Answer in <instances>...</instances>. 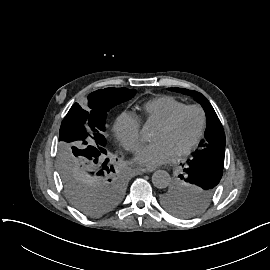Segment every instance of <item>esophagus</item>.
Listing matches in <instances>:
<instances>
[{"label": "esophagus", "instance_id": "1", "mask_svg": "<svg viewBox=\"0 0 270 270\" xmlns=\"http://www.w3.org/2000/svg\"><path fill=\"white\" fill-rule=\"evenodd\" d=\"M139 170L143 173H146V172H153L155 168L153 166H147V167H142Z\"/></svg>", "mask_w": 270, "mask_h": 270}]
</instances>
